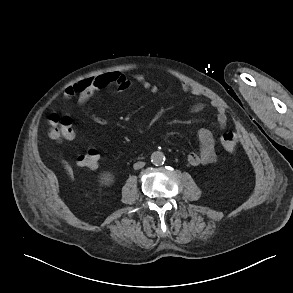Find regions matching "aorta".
<instances>
[{"label": "aorta", "mask_w": 293, "mask_h": 293, "mask_svg": "<svg viewBox=\"0 0 293 293\" xmlns=\"http://www.w3.org/2000/svg\"><path fill=\"white\" fill-rule=\"evenodd\" d=\"M151 162L155 165H161L165 161V156L162 152L156 151L151 154Z\"/></svg>", "instance_id": "aorta-1"}]
</instances>
